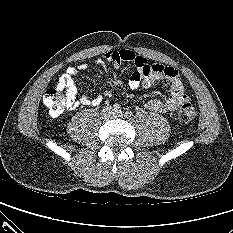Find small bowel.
Returning a JSON list of instances; mask_svg holds the SVG:
<instances>
[{
    "mask_svg": "<svg viewBox=\"0 0 233 233\" xmlns=\"http://www.w3.org/2000/svg\"><path fill=\"white\" fill-rule=\"evenodd\" d=\"M104 59L115 66H119L123 62H130L135 66V70L130 74L128 79V86L132 90L140 87H153L163 81L169 82L170 94L167 99H151L145 104V107L150 111L158 113L174 111L189 100L184 91L178 71L173 67L150 63L145 57L127 49L108 51L104 54ZM86 68L85 64H81L78 67H69L59 78L58 86L66 91L69 99L68 108L70 109H74L79 105L98 106L103 101L101 95L94 97L82 95L79 99H76L78 88L75 77Z\"/></svg>",
    "mask_w": 233,
    "mask_h": 233,
    "instance_id": "small-bowel-1",
    "label": "small bowel"
}]
</instances>
